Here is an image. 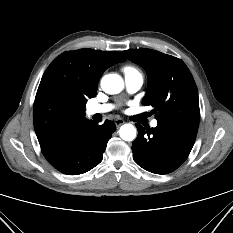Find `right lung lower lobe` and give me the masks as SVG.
<instances>
[{"label":"right lung lower lobe","instance_id":"right-lung-lower-lobe-1","mask_svg":"<svg viewBox=\"0 0 233 233\" xmlns=\"http://www.w3.org/2000/svg\"><path fill=\"white\" fill-rule=\"evenodd\" d=\"M116 126L106 120L98 125L92 120L86 121L64 137L41 145V151L47 161L58 171L67 175L83 174L97 166Z\"/></svg>","mask_w":233,"mask_h":233}]
</instances>
